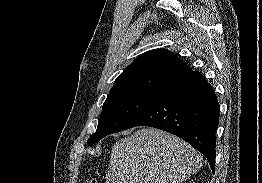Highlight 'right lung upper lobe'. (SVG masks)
<instances>
[{
    "label": "right lung upper lobe",
    "instance_id": "1",
    "mask_svg": "<svg viewBox=\"0 0 262 183\" xmlns=\"http://www.w3.org/2000/svg\"><path fill=\"white\" fill-rule=\"evenodd\" d=\"M192 69L166 49H155L137 57L115 80L110 94L133 90L159 91Z\"/></svg>",
    "mask_w": 262,
    "mask_h": 183
}]
</instances>
